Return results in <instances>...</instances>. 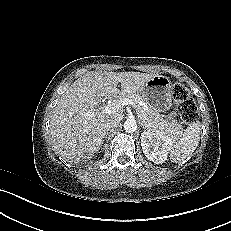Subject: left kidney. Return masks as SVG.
<instances>
[{"mask_svg": "<svg viewBox=\"0 0 231 231\" xmlns=\"http://www.w3.org/2000/svg\"><path fill=\"white\" fill-rule=\"evenodd\" d=\"M141 146L148 160L162 164L167 160V154L172 144V139L150 130L141 133Z\"/></svg>", "mask_w": 231, "mask_h": 231, "instance_id": "1", "label": "left kidney"}]
</instances>
